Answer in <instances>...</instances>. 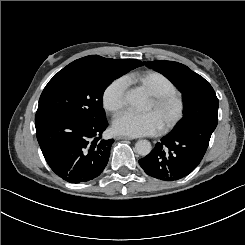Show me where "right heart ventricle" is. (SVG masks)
Returning <instances> with one entry per match:
<instances>
[{
	"label": "right heart ventricle",
	"instance_id": "obj_1",
	"mask_svg": "<svg viewBox=\"0 0 245 245\" xmlns=\"http://www.w3.org/2000/svg\"><path fill=\"white\" fill-rule=\"evenodd\" d=\"M127 85H137L149 92L176 91L174 83L164 74L154 70H135L123 77Z\"/></svg>",
	"mask_w": 245,
	"mask_h": 245
}]
</instances>
